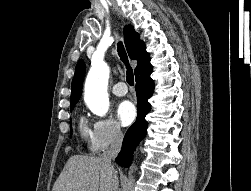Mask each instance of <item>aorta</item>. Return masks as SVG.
I'll return each instance as SVG.
<instances>
[{
    "label": "aorta",
    "instance_id": "1",
    "mask_svg": "<svg viewBox=\"0 0 251 191\" xmlns=\"http://www.w3.org/2000/svg\"><path fill=\"white\" fill-rule=\"evenodd\" d=\"M101 54H94L91 60V70L86 78L84 99L96 115H106L109 109V97L107 94L109 66L102 62Z\"/></svg>",
    "mask_w": 251,
    "mask_h": 191
}]
</instances>
